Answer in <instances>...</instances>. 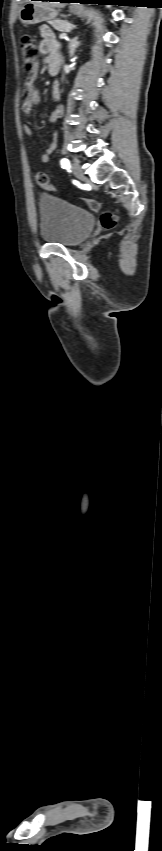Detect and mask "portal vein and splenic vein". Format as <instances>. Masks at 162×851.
<instances>
[{"mask_svg":"<svg viewBox=\"0 0 162 851\" xmlns=\"http://www.w3.org/2000/svg\"><path fill=\"white\" fill-rule=\"evenodd\" d=\"M59 38H60V39H66V38H67V34L63 33V34H61V35L59 36Z\"/></svg>","mask_w":162,"mask_h":851,"instance_id":"18ae733b","label":"portal vein and splenic vein"}]
</instances>
